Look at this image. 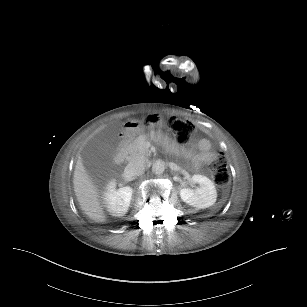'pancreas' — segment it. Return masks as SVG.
Here are the masks:
<instances>
[{
  "mask_svg": "<svg viewBox=\"0 0 307 307\" xmlns=\"http://www.w3.org/2000/svg\"><path fill=\"white\" fill-rule=\"evenodd\" d=\"M146 144V136L144 134L138 136L132 143V146L136 147V150L133 153L141 152L146 153L147 149L145 147Z\"/></svg>",
  "mask_w": 307,
  "mask_h": 307,
  "instance_id": "cf45deb5",
  "label": "pancreas"
}]
</instances>
